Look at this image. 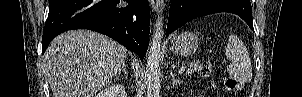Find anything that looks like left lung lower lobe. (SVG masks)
<instances>
[{
  "label": "left lung lower lobe",
  "instance_id": "1",
  "mask_svg": "<svg viewBox=\"0 0 302 97\" xmlns=\"http://www.w3.org/2000/svg\"><path fill=\"white\" fill-rule=\"evenodd\" d=\"M218 12L239 15L254 31L250 0H171L166 34L196 17Z\"/></svg>",
  "mask_w": 302,
  "mask_h": 97
}]
</instances>
